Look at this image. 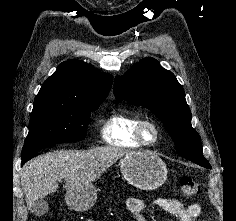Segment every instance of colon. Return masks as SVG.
I'll list each match as a JSON object with an SVG mask.
<instances>
[{"label": "colon", "mask_w": 236, "mask_h": 221, "mask_svg": "<svg viewBox=\"0 0 236 221\" xmlns=\"http://www.w3.org/2000/svg\"><path fill=\"white\" fill-rule=\"evenodd\" d=\"M180 191L184 198H191L199 193V186L196 181L189 177L183 176L180 178Z\"/></svg>", "instance_id": "1"}]
</instances>
